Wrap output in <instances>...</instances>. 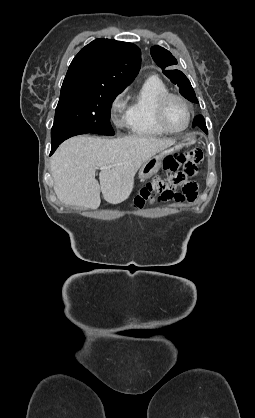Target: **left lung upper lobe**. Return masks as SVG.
Masks as SVG:
<instances>
[{"instance_id": "5c2ea615", "label": "left lung upper lobe", "mask_w": 255, "mask_h": 418, "mask_svg": "<svg viewBox=\"0 0 255 418\" xmlns=\"http://www.w3.org/2000/svg\"><path fill=\"white\" fill-rule=\"evenodd\" d=\"M150 52L153 60L162 69L164 75L167 76L172 83L178 85L181 95L193 103H198L191 83L185 74L179 70L168 69L177 64L175 57L168 50L158 45L151 47Z\"/></svg>"}]
</instances>
